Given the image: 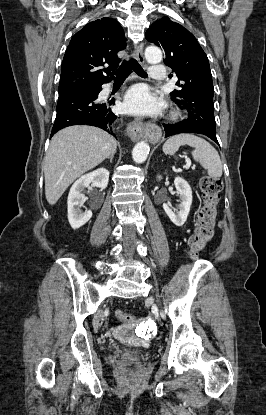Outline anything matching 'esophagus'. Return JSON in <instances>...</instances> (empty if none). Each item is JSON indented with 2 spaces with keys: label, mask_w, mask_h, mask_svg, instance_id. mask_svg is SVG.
<instances>
[{
  "label": "esophagus",
  "mask_w": 266,
  "mask_h": 415,
  "mask_svg": "<svg viewBox=\"0 0 266 415\" xmlns=\"http://www.w3.org/2000/svg\"><path fill=\"white\" fill-rule=\"evenodd\" d=\"M134 56L140 64L145 63L143 54V43H139L134 51ZM127 134L133 140H138L144 135V124L142 120L135 119L127 127Z\"/></svg>",
  "instance_id": "obj_1"
}]
</instances>
